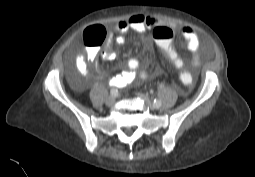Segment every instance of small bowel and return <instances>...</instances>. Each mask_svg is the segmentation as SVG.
Wrapping results in <instances>:
<instances>
[{"label":"small bowel","instance_id":"1","mask_svg":"<svg viewBox=\"0 0 255 177\" xmlns=\"http://www.w3.org/2000/svg\"><path fill=\"white\" fill-rule=\"evenodd\" d=\"M159 24L162 23L156 18L145 15H133L128 19L120 20L116 25V29L119 34L114 38L111 35L108 36L106 44L101 52L102 58L105 60L112 59L114 55L112 46L113 42L118 45H123L125 43V33H127L129 30H133L138 33H144ZM163 24L166 25V27L177 30L179 32V34L186 41L189 52L194 55L195 59H197L200 40L196 32L188 26H179L172 22H165ZM152 48L153 44L146 42L143 52L150 51ZM99 54V49L94 47L88 48L85 54H77L75 57V67L78 72L87 78H93L95 80L101 81L104 80L100 76H92L88 65V61L95 62L98 59ZM148 78V72L140 69V61L137 58H131L126 63V69L121 73L111 77L109 79V83L112 86L121 88L128 85L141 84Z\"/></svg>","mask_w":255,"mask_h":177}]
</instances>
